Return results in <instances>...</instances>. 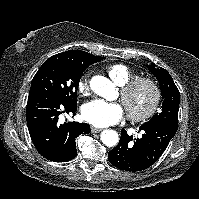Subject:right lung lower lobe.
Listing matches in <instances>:
<instances>
[{"label":"right lung lower lobe","mask_w":199,"mask_h":199,"mask_svg":"<svg viewBox=\"0 0 199 199\" xmlns=\"http://www.w3.org/2000/svg\"><path fill=\"white\" fill-rule=\"evenodd\" d=\"M77 106L66 104L58 96L44 91L29 94L26 119L30 137L37 151L46 159L65 162L77 155L76 138L88 134L86 123L60 124L62 113L73 114Z\"/></svg>","instance_id":"obj_1"}]
</instances>
